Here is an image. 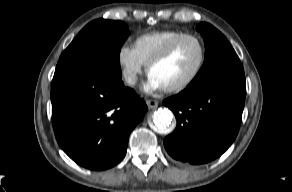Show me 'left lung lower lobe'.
I'll use <instances>...</instances> for the list:
<instances>
[{"label":"left lung lower lobe","instance_id":"1","mask_svg":"<svg viewBox=\"0 0 292 192\" xmlns=\"http://www.w3.org/2000/svg\"><path fill=\"white\" fill-rule=\"evenodd\" d=\"M245 96V78L228 77L188 86L164 100L177 119L176 129L164 139L168 154L190 164L222 155L239 131Z\"/></svg>","mask_w":292,"mask_h":192}]
</instances>
